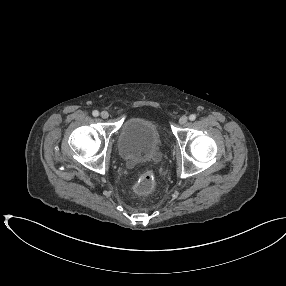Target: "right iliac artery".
<instances>
[{"mask_svg": "<svg viewBox=\"0 0 286 286\" xmlns=\"http://www.w3.org/2000/svg\"><path fill=\"white\" fill-rule=\"evenodd\" d=\"M92 115L95 116V117H97V116L99 115V112H98L97 110H94V111L92 112Z\"/></svg>", "mask_w": 286, "mask_h": 286, "instance_id": "1", "label": "right iliac artery"}]
</instances>
